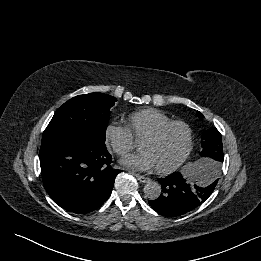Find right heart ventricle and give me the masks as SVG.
I'll return each instance as SVG.
<instances>
[{
    "label": "right heart ventricle",
    "mask_w": 261,
    "mask_h": 261,
    "mask_svg": "<svg viewBox=\"0 0 261 261\" xmlns=\"http://www.w3.org/2000/svg\"><path fill=\"white\" fill-rule=\"evenodd\" d=\"M169 121L171 118L166 113L155 108L138 110L127 117L129 130L136 139H143Z\"/></svg>",
    "instance_id": "e07e8e85"
}]
</instances>
